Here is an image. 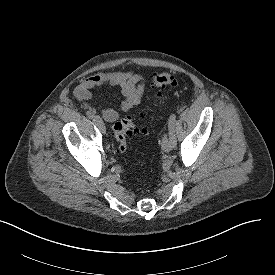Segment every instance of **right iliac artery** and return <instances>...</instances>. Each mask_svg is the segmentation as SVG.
<instances>
[{
  "label": "right iliac artery",
  "mask_w": 275,
  "mask_h": 275,
  "mask_svg": "<svg viewBox=\"0 0 275 275\" xmlns=\"http://www.w3.org/2000/svg\"><path fill=\"white\" fill-rule=\"evenodd\" d=\"M100 121H101V118H100L98 115L93 116V122H94L95 124H97V123L100 122Z\"/></svg>",
  "instance_id": "1"
}]
</instances>
